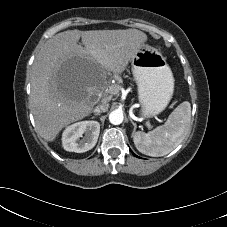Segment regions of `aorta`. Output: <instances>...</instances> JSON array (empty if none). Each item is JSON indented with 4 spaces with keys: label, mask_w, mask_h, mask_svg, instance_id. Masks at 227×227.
Listing matches in <instances>:
<instances>
[{
    "label": "aorta",
    "mask_w": 227,
    "mask_h": 227,
    "mask_svg": "<svg viewBox=\"0 0 227 227\" xmlns=\"http://www.w3.org/2000/svg\"><path fill=\"white\" fill-rule=\"evenodd\" d=\"M124 116L123 113L119 110L112 111L109 114V121L113 125H119L123 122Z\"/></svg>",
    "instance_id": "obj_1"
}]
</instances>
